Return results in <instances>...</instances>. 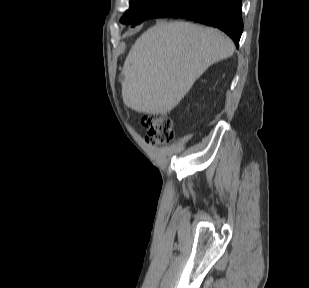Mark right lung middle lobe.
Masks as SVG:
<instances>
[{"instance_id":"obj_1","label":"right lung middle lobe","mask_w":309,"mask_h":288,"mask_svg":"<svg viewBox=\"0 0 309 288\" xmlns=\"http://www.w3.org/2000/svg\"><path fill=\"white\" fill-rule=\"evenodd\" d=\"M169 1L170 0H130V8L123 15L120 22L123 24H139Z\"/></svg>"}]
</instances>
